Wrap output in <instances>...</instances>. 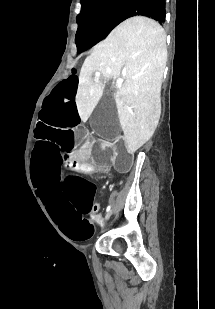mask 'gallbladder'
<instances>
[{"label": "gallbladder", "mask_w": 215, "mask_h": 309, "mask_svg": "<svg viewBox=\"0 0 215 309\" xmlns=\"http://www.w3.org/2000/svg\"><path fill=\"white\" fill-rule=\"evenodd\" d=\"M95 107L96 109L91 113L93 131L97 132V136H107V138L118 136L119 117L114 96L106 94Z\"/></svg>", "instance_id": "gallbladder-1"}]
</instances>
